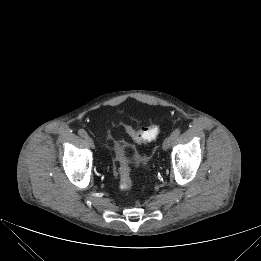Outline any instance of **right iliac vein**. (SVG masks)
Here are the masks:
<instances>
[{
  "label": "right iliac vein",
  "mask_w": 261,
  "mask_h": 261,
  "mask_svg": "<svg viewBox=\"0 0 261 261\" xmlns=\"http://www.w3.org/2000/svg\"><path fill=\"white\" fill-rule=\"evenodd\" d=\"M85 142H86V144H87V146H88L89 148H91V149L94 148V141H93V139H92L91 137L86 136V137H85Z\"/></svg>",
  "instance_id": "right-iliac-vein-1"
}]
</instances>
